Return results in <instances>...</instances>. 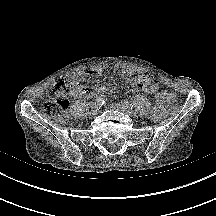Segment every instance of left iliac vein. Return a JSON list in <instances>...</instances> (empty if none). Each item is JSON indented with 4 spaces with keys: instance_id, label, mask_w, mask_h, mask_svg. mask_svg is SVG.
<instances>
[{
    "instance_id": "left-iliac-vein-1",
    "label": "left iliac vein",
    "mask_w": 216,
    "mask_h": 216,
    "mask_svg": "<svg viewBox=\"0 0 216 216\" xmlns=\"http://www.w3.org/2000/svg\"><path fill=\"white\" fill-rule=\"evenodd\" d=\"M111 108L122 111V112H124V113H126L128 115L133 114V111L130 108H127V107H125V106H123L121 104H118V103H112Z\"/></svg>"
}]
</instances>
